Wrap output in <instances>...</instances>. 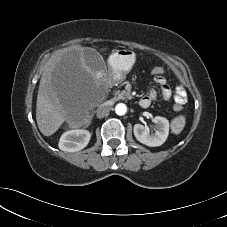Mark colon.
<instances>
[{
    "instance_id": "1",
    "label": "colon",
    "mask_w": 227,
    "mask_h": 227,
    "mask_svg": "<svg viewBox=\"0 0 227 227\" xmlns=\"http://www.w3.org/2000/svg\"><path fill=\"white\" fill-rule=\"evenodd\" d=\"M164 72V68L161 67V66H156L154 67L152 70H151V75L153 77H156L158 75H162V73ZM174 109L177 110V111H180L182 109V106L181 105H175L174 106Z\"/></svg>"
}]
</instances>
